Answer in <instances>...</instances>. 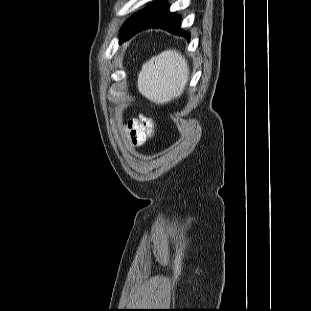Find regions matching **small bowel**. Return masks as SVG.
Here are the masks:
<instances>
[{
    "mask_svg": "<svg viewBox=\"0 0 311 311\" xmlns=\"http://www.w3.org/2000/svg\"><path fill=\"white\" fill-rule=\"evenodd\" d=\"M153 126V122L145 117L129 121L125 129L129 143L134 147L143 145L147 138L152 136Z\"/></svg>",
    "mask_w": 311,
    "mask_h": 311,
    "instance_id": "small-bowel-1",
    "label": "small bowel"
}]
</instances>
